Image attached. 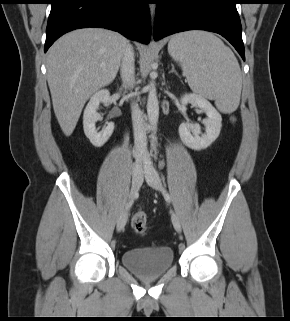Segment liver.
<instances>
[{
    "mask_svg": "<svg viewBox=\"0 0 290 321\" xmlns=\"http://www.w3.org/2000/svg\"><path fill=\"white\" fill-rule=\"evenodd\" d=\"M126 44L117 32L83 28L63 35L48 50V86L66 136L73 133L90 96L115 79Z\"/></svg>",
    "mask_w": 290,
    "mask_h": 321,
    "instance_id": "obj_1",
    "label": "liver"
}]
</instances>
